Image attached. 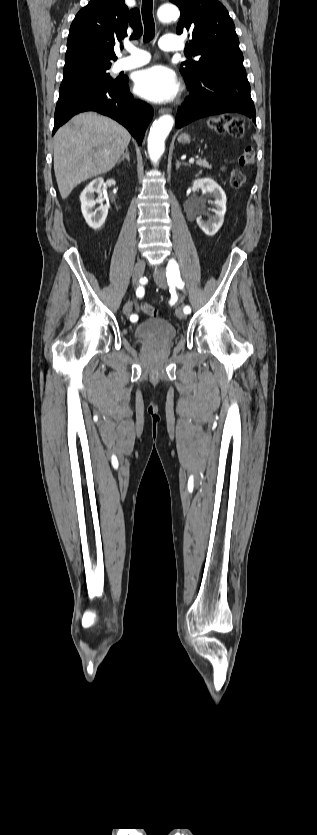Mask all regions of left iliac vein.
<instances>
[{
	"label": "left iliac vein",
	"instance_id": "left-iliac-vein-1",
	"mask_svg": "<svg viewBox=\"0 0 317 835\" xmlns=\"http://www.w3.org/2000/svg\"><path fill=\"white\" fill-rule=\"evenodd\" d=\"M153 277H154V281H155V283H156V284H157L160 288H162V289H166V288H167V279H166V276H165V274H164V272H163V270H162V269H158L157 271H155V273H154V276H153ZM176 316H177L179 319H185V318H186V314H185V312L182 310V308H177V309H176Z\"/></svg>",
	"mask_w": 317,
	"mask_h": 835
}]
</instances>
